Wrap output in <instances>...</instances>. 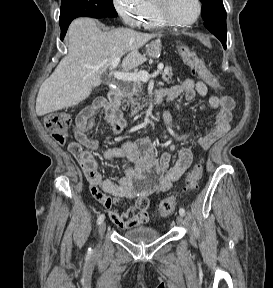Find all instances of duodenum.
Segmentation results:
<instances>
[{"label": "duodenum", "mask_w": 273, "mask_h": 288, "mask_svg": "<svg viewBox=\"0 0 273 288\" xmlns=\"http://www.w3.org/2000/svg\"><path fill=\"white\" fill-rule=\"evenodd\" d=\"M120 98H121V92L118 88H111L108 92L107 100L108 104L106 106V113L108 115H115L119 112V105H120ZM164 98V92L163 90L157 91L152 99V102L159 103ZM100 105H102L101 102H99ZM150 102H146L145 104H142L138 106L134 110V114H141L143 112H146L149 108Z\"/></svg>", "instance_id": "1"}]
</instances>
